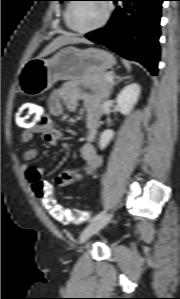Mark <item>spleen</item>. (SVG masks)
I'll list each match as a JSON object with an SVG mask.
<instances>
[{"label":"spleen","mask_w":180,"mask_h":299,"mask_svg":"<svg viewBox=\"0 0 180 299\" xmlns=\"http://www.w3.org/2000/svg\"><path fill=\"white\" fill-rule=\"evenodd\" d=\"M123 63L125 65V67L127 68V70L130 71L131 70L130 64L127 61H125V60H123Z\"/></svg>","instance_id":"obj_1"}]
</instances>
